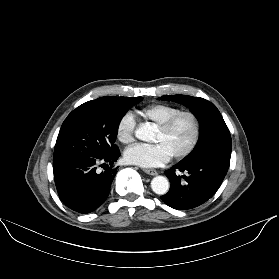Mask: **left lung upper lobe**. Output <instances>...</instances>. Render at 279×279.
<instances>
[{"mask_svg":"<svg viewBox=\"0 0 279 279\" xmlns=\"http://www.w3.org/2000/svg\"><path fill=\"white\" fill-rule=\"evenodd\" d=\"M159 100L174 101L190 108L200 124V137L193 151L182 161L214 158L230 164L231 136L216 106L206 99L187 95H165Z\"/></svg>","mask_w":279,"mask_h":279,"instance_id":"5c2ea615","label":"left lung upper lobe"}]
</instances>
